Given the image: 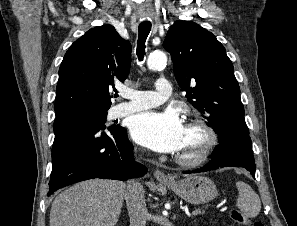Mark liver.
I'll use <instances>...</instances> for the list:
<instances>
[{"mask_svg":"<svg viewBox=\"0 0 297 226\" xmlns=\"http://www.w3.org/2000/svg\"><path fill=\"white\" fill-rule=\"evenodd\" d=\"M122 181L87 180L60 193L53 201L50 226H115L125 194Z\"/></svg>","mask_w":297,"mask_h":226,"instance_id":"6515ba94","label":"liver"}]
</instances>
